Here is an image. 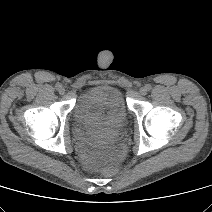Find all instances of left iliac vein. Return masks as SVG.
<instances>
[{"mask_svg": "<svg viewBox=\"0 0 212 212\" xmlns=\"http://www.w3.org/2000/svg\"><path fill=\"white\" fill-rule=\"evenodd\" d=\"M147 89H146V87H141L140 89H139V93L141 94V95H146V93H147Z\"/></svg>", "mask_w": 212, "mask_h": 212, "instance_id": "1", "label": "left iliac vein"}]
</instances>
